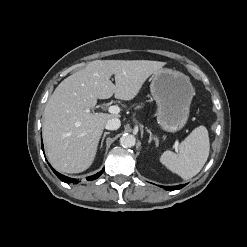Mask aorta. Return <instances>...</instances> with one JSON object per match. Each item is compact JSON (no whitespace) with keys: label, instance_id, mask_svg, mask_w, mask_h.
Returning <instances> with one entry per match:
<instances>
[{"label":"aorta","instance_id":"762f6f07","mask_svg":"<svg viewBox=\"0 0 247 247\" xmlns=\"http://www.w3.org/2000/svg\"><path fill=\"white\" fill-rule=\"evenodd\" d=\"M135 142H136V138L132 134H124L120 138V144L124 148H131V147H133L135 145Z\"/></svg>","mask_w":247,"mask_h":247}]
</instances>
